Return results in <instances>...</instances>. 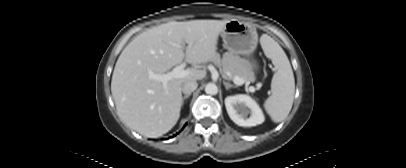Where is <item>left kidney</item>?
<instances>
[{"mask_svg":"<svg viewBox=\"0 0 406 168\" xmlns=\"http://www.w3.org/2000/svg\"><path fill=\"white\" fill-rule=\"evenodd\" d=\"M225 107L231 120L239 126H256L265 120L257 102L248 95L238 94L226 97Z\"/></svg>","mask_w":406,"mask_h":168,"instance_id":"5707ae66","label":"left kidney"}]
</instances>
